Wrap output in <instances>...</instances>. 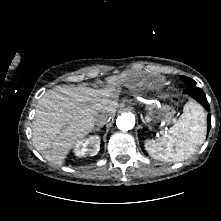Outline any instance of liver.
<instances>
[{"label": "liver", "mask_w": 221, "mask_h": 221, "mask_svg": "<svg viewBox=\"0 0 221 221\" xmlns=\"http://www.w3.org/2000/svg\"><path fill=\"white\" fill-rule=\"evenodd\" d=\"M118 83L113 76L103 89L56 86L48 90L38 101L33 121L35 149L52 164L63 165L69 151L92 131L98 115L115 116Z\"/></svg>", "instance_id": "6515ba94"}]
</instances>
